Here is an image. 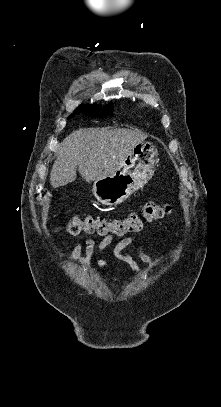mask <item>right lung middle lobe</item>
Returning a JSON list of instances; mask_svg holds the SVG:
<instances>
[{"instance_id": "1", "label": "right lung middle lobe", "mask_w": 221, "mask_h": 407, "mask_svg": "<svg viewBox=\"0 0 221 407\" xmlns=\"http://www.w3.org/2000/svg\"><path fill=\"white\" fill-rule=\"evenodd\" d=\"M113 112V104H109L103 109L100 105L91 104V105H80L74 110V112L68 117L71 118L78 113H83L91 117H106L111 115Z\"/></svg>"}]
</instances>
